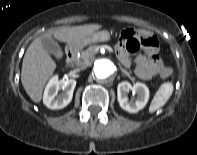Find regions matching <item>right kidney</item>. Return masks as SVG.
<instances>
[{
	"label": "right kidney",
	"mask_w": 197,
	"mask_h": 155,
	"mask_svg": "<svg viewBox=\"0 0 197 155\" xmlns=\"http://www.w3.org/2000/svg\"><path fill=\"white\" fill-rule=\"evenodd\" d=\"M76 86L74 79H58V76L52 77L44 91L43 102L49 109H62L72 100L73 92ZM65 90L58 95L59 89Z\"/></svg>",
	"instance_id": "ca27d5eb"
}]
</instances>
